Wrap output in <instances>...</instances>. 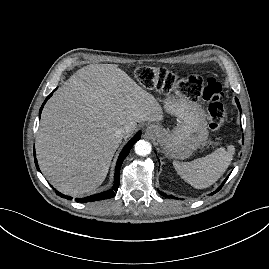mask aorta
I'll list each match as a JSON object with an SVG mask.
<instances>
[{
  "instance_id": "aorta-1",
  "label": "aorta",
  "mask_w": 269,
  "mask_h": 269,
  "mask_svg": "<svg viewBox=\"0 0 269 269\" xmlns=\"http://www.w3.org/2000/svg\"><path fill=\"white\" fill-rule=\"evenodd\" d=\"M151 149H152L151 144L145 140H139L135 144V148H134L135 153L139 156H146L150 154Z\"/></svg>"
}]
</instances>
